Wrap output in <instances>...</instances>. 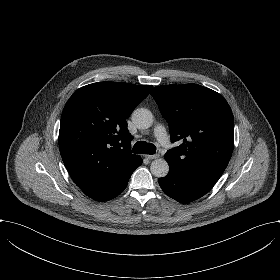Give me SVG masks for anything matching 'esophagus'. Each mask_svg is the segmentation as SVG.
I'll use <instances>...</instances> for the list:
<instances>
[{
    "label": "esophagus",
    "instance_id": "1",
    "mask_svg": "<svg viewBox=\"0 0 280 280\" xmlns=\"http://www.w3.org/2000/svg\"><path fill=\"white\" fill-rule=\"evenodd\" d=\"M144 157L148 160H155V159H158L160 157L159 154H154V155H144Z\"/></svg>",
    "mask_w": 280,
    "mask_h": 280
}]
</instances>
